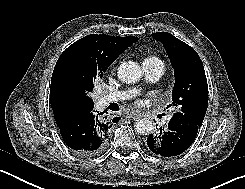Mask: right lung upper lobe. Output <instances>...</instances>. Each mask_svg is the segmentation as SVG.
Masks as SVG:
<instances>
[{"mask_svg": "<svg viewBox=\"0 0 245 189\" xmlns=\"http://www.w3.org/2000/svg\"><path fill=\"white\" fill-rule=\"evenodd\" d=\"M138 40L91 34L70 45L59 57L51 78L50 101L56 124L94 106L82 103L71 90L76 74L89 70H107L117 57ZM92 100V99H91Z\"/></svg>", "mask_w": 245, "mask_h": 189, "instance_id": "obj_1", "label": "right lung upper lobe"}]
</instances>
